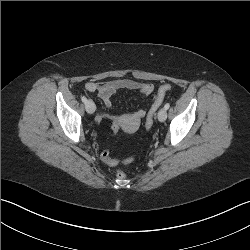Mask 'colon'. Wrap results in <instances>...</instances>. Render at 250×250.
<instances>
[{"instance_id": "1", "label": "colon", "mask_w": 250, "mask_h": 250, "mask_svg": "<svg viewBox=\"0 0 250 250\" xmlns=\"http://www.w3.org/2000/svg\"><path fill=\"white\" fill-rule=\"evenodd\" d=\"M171 89V85L169 83H166V84H163L159 87L158 91L156 92L155 96H154V99H153V102L150 106V109H149V112L147 114V117H146V121H145V126H146V129L149 130L152 126H153V123H154V120H155V115H156V111L157 109L160 107V105L162 104L163 100H164V97L166 95V93ZM111 136L109 135L108 138L105 142V150H102L100 153H99V156L102 158V160L104 162H106L108 165H111V166H116L118 165V161L111 158L110 157V154L109 152L107 151L108 149V145L110 144V142L112 141L113 137L112 135H117L119 132H120V125H119V119H113L111 121ZM133 156H130L128 158H126L123 163L125 164H128L130 162L133 161ZM116 176L120 179L124 178L126 176V173L125 171L118 167L116 169Z\"/></svg>"}]
</instances>
